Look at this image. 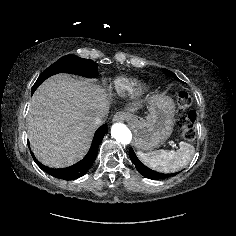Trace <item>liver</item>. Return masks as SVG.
Instances as JSON below:
<instances>
[{
	"instance_id": "liver-1",
	"label": "liver",
	"mask_w": 236,
	"mask_h": 236,
	"mask_svg": "<svg viewBox=\"0 0 236 236\" xmlns=\"http://www.w3.org/2000/svg\"><path fill=\"white\" fill-rule=\"evenodd\" d=\"M104 89L66 74L48 78L35 91L27 115V133L37 159L52 168L84 157L96 130L92 121L108 113Z\"/></svg>"
}]
</instances>
